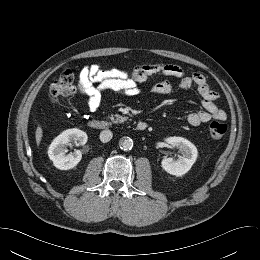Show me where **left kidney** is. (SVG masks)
<instances>
[{
    "mask_svg": "<svg viewBox=\"0 0 260 260\" xmlns=\"http://www.w3.org/2000/svg\"><path fill=\"white\" fill-rule=\"evenodd\" d=\"M165 141L172 147L178 148L181 155L176 159L164 158L161 162L162 168L171 175L182 176L186 174L197 159V148L190 141L182 137H169Z\"/></svg>",
    "mask_w": 260,
    "mask_h": 260,
    "instance_id": "obj_1",
    "label": "left kidney"
}]
</instances>
